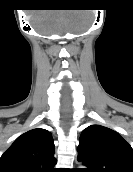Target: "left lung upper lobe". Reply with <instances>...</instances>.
I'll return each instance as SVG.
<instances>
[{
	"label": "left lung upper lobe",
	"mask_w": 133,
	"mask_h": 172,
	"mask_svg": "<svg viewBox=\"0 0 133 172\" xmlns=\"http://www.w3.org/2000/svg\"><path fill=\"white\" fill-rule=\"evenodd\" d=\"M81 172H133V150L117 132L101 125L85 128L79 139Z\"/></svg>",
	"instance_id": "obj_1"
}]
</instances>
